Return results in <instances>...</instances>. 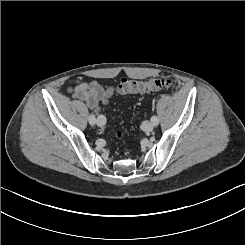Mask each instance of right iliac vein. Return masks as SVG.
<instances>
[{"mask_svg":"<svg viewBox=\"0 0 245 245\" xmlns=\"http://www.w3.org/2000/svg\"><path fill=\"white\" fill-rule=\"evenodd\" d=\"M105 123H106L105 117L103 115H99L98 118H97V125L99 127H102V126L105 125Z\"/></svg>","mask_w":245,"mask_h":245,"instance_id":"1","label":"right iliac vein"}]
</instances>
